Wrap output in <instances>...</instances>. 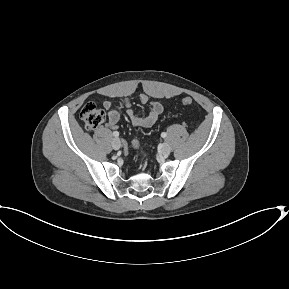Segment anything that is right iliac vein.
<instances>
[{
    "instance_id": "obj_1",
    "label": "right iliac vein",
    "mask_w": 289,
    "mask_h": 289,
    "mask_svg": "<svg viewBox=\"0 0 289 289\" xmlns=\"http://www.w3.org/2000/svg\"><path fill=\"white\" fill-rule=\"evenodd\" d=\"M112 147L115 149V150H118L120 147H121V142L119 140V138H114L113 141H112Z\"/></svg>"
}]
</instances>
